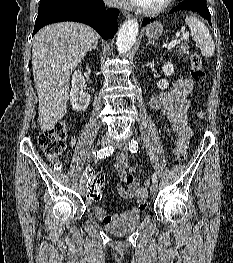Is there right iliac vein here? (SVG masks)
I'll list each match as a JSON object with an SVG mask.
<instances>
[{"mask_svg": "<svg viewBox=\"0 0 233 263\" xmlns=\"http://www.w3.org/2000/svg\"><path fill=\"white\" fill-rule=\"evenodd\" d=\"M112 144H113V139L110 138V137H104V138H102V140H101V145H102L103 147H108V146H111ZM79 191H80L81 194H84V193H85L86 187H85L84 184H80V186H79Z\"/></svg>", "mask_w": 233, "mask_h": 263, "instance_id": "right-iliac-vein-1", "label": "right iliac vein"}]
</instances>
